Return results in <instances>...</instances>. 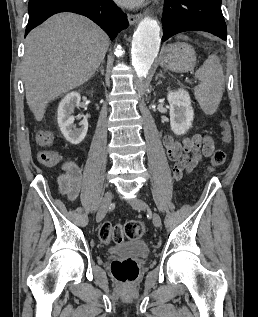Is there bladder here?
I'll return each instance as SVG.
<instances>
[{
    "label": "bladder",
    "mask_w": 258,
    "mask_h": 317,
    "mask_svg": "<svg viewBox=\"0 0 258 317\" xmlns=\"http://www.w3.org/2000/svg\"><path fill=\"white\" fill-rule=\"evenodd\" d=\"M108 253L123 258L139 259L146 258L150 249L145 241L135 240L113 246L109 248Z\"/></svg>",
    "instance_id": "1"
}]
</instances>
